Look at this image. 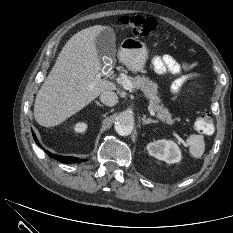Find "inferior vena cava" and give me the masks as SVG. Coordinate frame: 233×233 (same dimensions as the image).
I'll use <instances>...</instances> for the list:
<instances>
[{"label": "inferior vena cava", "mask_w": 233, "mask_h": 233, "mask_svg": "<svg viewBox=\"0 0 233 233\" xmlns=\"http://www.w3.org/2000/svg\"><path fill=\"white\" fill-rule=\"evenodd\" d=\"M100 101L107 106H114L118 102V96L113 91H104L100 95Z\"/></svg>", "instance_id": "1"}]
</instances>
